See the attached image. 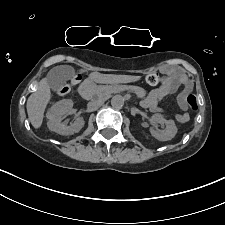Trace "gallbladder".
<instances>
[{"instance_id": "bac80fb5", "label": "gallbladder", "mask_w": 225, "mask_h": 225, "mask_svg": "<svg viewBox=\"0 0 225 225\" xmlns=\"http://www.w3.org/2000/svg\"><path fill=\"white\" fill-rule=\"evenodd\" d=\"M74 74L71 66L60 65L51 69L47 74V82L53 91H59L65 85L66 81Z\"/></svg>"}]
</instances>
